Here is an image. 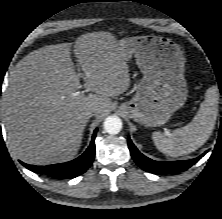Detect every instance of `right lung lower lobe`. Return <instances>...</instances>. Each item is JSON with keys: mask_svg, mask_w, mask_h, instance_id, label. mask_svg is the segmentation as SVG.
Wrapping results in <instances>:
<instances>
[{"mask_svg": "<svg viewBox=\"0 0 222 219\" xmlns=\"http://www.w3.org/2000/svg\"><path fill=\"white\" fill-rule=\"evenodd\" d=\"M97 129L94 131L91 143L87 150L78 158L61 164L47 166H34L21 162L27 169L41 173L56 179H71L83 174L92 164L95 157V137Z\"/></svg>", "mask_w": 222, "mask_h": 219, "instance_id": "98d812e1", "label": "right lung lower lobe"}]
</instances>
